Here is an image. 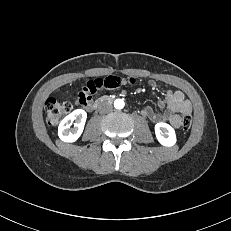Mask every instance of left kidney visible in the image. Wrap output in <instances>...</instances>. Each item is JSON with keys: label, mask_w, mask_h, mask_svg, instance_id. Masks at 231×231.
Masks as SVG:
<instances>
[{"label": "left kidney", "mask_w": 231, "mask_h": 231, "mask_svg": "<svg viewBox=\"0 0 231 231\" xmlns=\"http://www.w3.org/2000/svg\"><path fill=\"white\" fill-rule=\"evenodd\" d=\"M156 138L163 146H173L176 143L175 130L167 123L159 122L155 125Z\"/></svg>", "instance_id": "left-kidney-1"}]
</instances>
